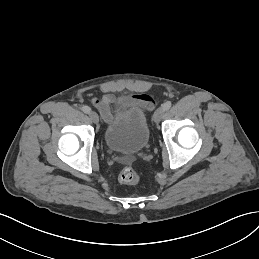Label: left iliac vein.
Listing matches in <instances>:
<instances>
[{"instance_id": "left-iliac-vein-1", "label": "left iliac vein", "mask_w": 259, "mask_h": 259, "mask_svg": "<svg viewBox=\"0 0 259 259\" xmlns=\"http://www.w3.org/2000/svg\"><path fill=\"white\" fill-rule=\"evenodd\" d=\"M165 110L163 108H158L154 113V121L158 123L164 116Z\"/></svg>"}]
</instances>
